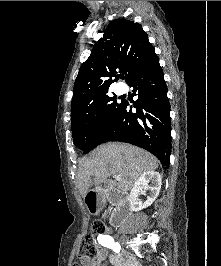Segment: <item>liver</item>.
<instances>
[{
	"label": "liver",
	"mask_w": 221,
	"mask_h": 266,
	"mask_svg": "<svg viewBox=\"0 0 221 266\" xmlns=\"http://www.w3.org/2000/svg\"><path fill=\"white\" fill-rule=\"evenodd\" d=\"M157 168V158L144 149L126 143H107L97 147L81 162L76 186L85 197L92 184L91 177H94L93 183L99 186L106 183L111 175H120L121 179L110 181L109 187L126 193L144 172Z\"/></svg>",
	"instance_id": "6515ba94"
}]
</instances>
